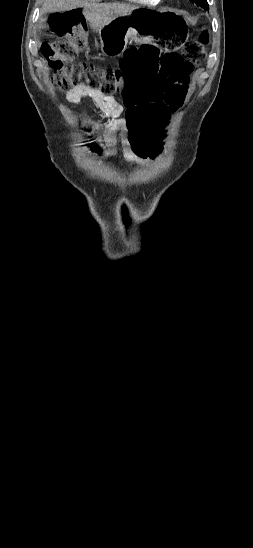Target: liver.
<instances>
[{
    "instance_id": "obj_1",
    "label": "liver",
    "mask_w": 253,
    "mask_h": 548,
    "mask_svg": "<svg viewBox=\"0 0 253 548\" xmlns=\"http://www.w3.org/2000/svg\"><path fill=\"white\" fill-rule=\"evenodd\" d=\"M83 8V16L91 28L99 30L107 26L116 17L131 13L138 9L134 5L124 3H98L89 0H45L41 14L71 11Z\"/></svg>"
}]
</instances>
